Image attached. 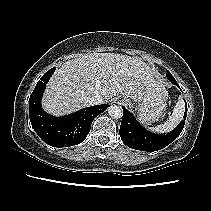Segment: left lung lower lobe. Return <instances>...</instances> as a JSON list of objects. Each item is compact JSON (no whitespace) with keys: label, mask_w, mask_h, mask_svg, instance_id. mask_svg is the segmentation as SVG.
<instances>
[{"label":"left lung lower lobe","mask_w":211,"mask_h":211,"mask_svg":"<svg viewBox=\"0 0 211 211\" xmlns=\"http://www.w3.org/2000/svg\"><path fill=\"white\" fill-rule=\"evenodd\" d=\"M172 83L179 87L175 79H173ZM122 109L123 117L120 126V137L128 147L136 150L153 152L166 147L180 135L185 124V121H181L171 133L157 135L143 128L124 106ZM186 116L187 109H185L183 118L186 119Z\"/></svg>","instance_id":"1"}]
</instances>
